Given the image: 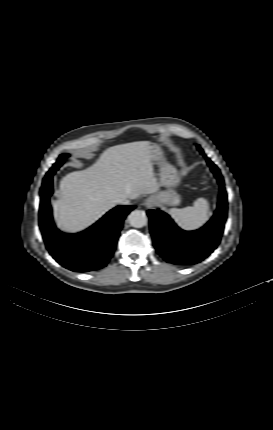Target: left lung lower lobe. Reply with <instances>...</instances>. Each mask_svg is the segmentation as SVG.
<instances>
[{"instance_id":"obj_1","label":"left lung lower lobe","mask_w":273,"mask_h":430,"mask_svg":"<svg viewBox=\"0 0 273 430\" xmlns=\"http://www.w3.org/2000/svg\"><path fill=\"white\" fill-rule=\"evenodd\" d=\"M206 161L219 182L220 195L217 210L204 227L195 231H184L177 227L166 213L158 210L147 211L154 246L168 263L177 265L199 263L220 243L227 218V194L219 169L210 159Z\"/></svg>"}]
</instances>
